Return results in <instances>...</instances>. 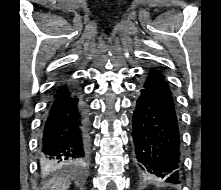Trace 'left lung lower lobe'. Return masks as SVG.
<instances>
[{"instance_id":"left-lung-lower-lobe-1","label":"left lung lower lobe","mask_w":221,"mask_h":190,"mask_svg":"<svg viewBox=\"0 0 221 190\" xmlns=\"http://www.w3.org/2000/svg\"><path fill=\"white\" fill-rule=\"evenodd\" d=\"M132 128L137 170L180 183L178 114L168 83L157 69H150L141 84Z\"/></svg>"}]
</instances>
